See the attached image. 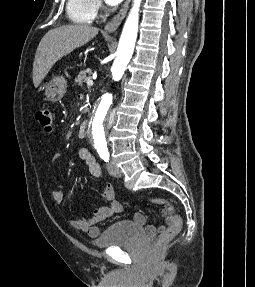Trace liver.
Returning <instances> with one entry per match:
<instances>
[{"instance_id":"obj_1","label":"liver","mask_w":255,"mask_h":287,"mask_svg":"<svg viewBox=\"0 0 255 287\" xmlns=\"http://www.w3.org/2000/svg\"><path fill=\"white\" fill-rule=\"evenodd\" d=\"M99 28L87 24H72L49 30L42 38L33 62V84L40 86L52 66L76 48L84 46L97 36Z\"/></svg>"}]
</instances>
